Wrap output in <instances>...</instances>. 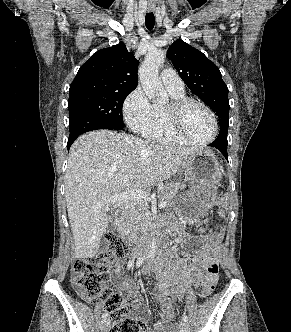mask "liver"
<instances>
[{
    "label": "liver",
    "mask_w": 291,
    "mask_h": 332,
    "mask_svg": "<svg viewBox=\"0 0 291 332\" xmlns=\"http://www.w3.org/2000/svg\"><path fill=\"white\" fill-rule=\"evenodd\" d=\"M202 148L159 145L115 131L83 134L71 146L65 198L75 258H93L108 225L113 195L142 190L175 175Z\"/></svg>",
    "instance_id": "liver-1"
}]
</instances>
